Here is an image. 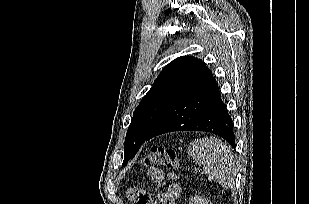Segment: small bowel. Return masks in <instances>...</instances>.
<instances>
[{"label": "small bowel", "instance_id": "obj_1", "mask_svg": "<svg viewBox=\"0 0 309 204\" xmlns=\"http://www.w3.org/2000/svg\"><path fill=\"white\" fill-rule=\"evenodd\" d=\"M147 178L157 185V189L162 186L166 179L172 181L165 192L157 191L153 197L148 196L142 189L133 187L127 191V197L138 204L139 197H146L144 204H176L180 194V185L176 181L173 173H166L159 167H150L146 172Z\"/></svg>", "mask_w": 309, "mask_h": 204}]
</instances>
